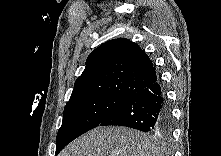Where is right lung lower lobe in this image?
Listing matches in <instances>:
<instances>
[{"mask_svg":"<svg viewBox=\"0 0 221 156\" xmlns=\"http://www.w3.org/2000/svg\"><path fill=\"white\" fill-rule=\"evenodd\" d=\"M118 125L145 132H168L172 115L166 93L158 81L138 91L112 112L100 126Z\"/></svg>","mask_w":221,"mask_h":156,"instance_id":"obj_1","label":"right lung lower lobe"}]
</instances>
